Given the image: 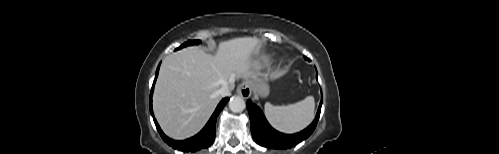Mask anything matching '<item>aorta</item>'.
Listing matches in <instances>:
<instances>
[{
	"label": "aorta",
	"instance_id": "762f6f07",
	"mask_svg": "<svg viewBox=\"0 0 499 154\" xmlns=\"http://www.w3.org/2000/svg\"><path fill=\"white\" fill-rule=\"evenodd\" d=\"M245 107V101L240 96H233L229 101V108L232 112H242Z\"/></svg>",
	"mask_w": 499,
	"mask_h": 154
}]
</instances>
